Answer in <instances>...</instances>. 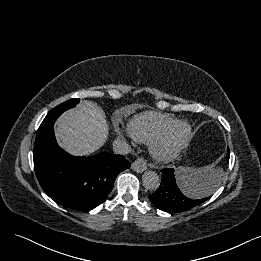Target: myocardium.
<instances>
[{
  "label": "myocardium",
  "mask_w": 261,
  "mask_h": 261,
  "mask_svg": "<svg viewBox=\"0 0 261 261\" xmlns=\"http://www.w3.org/2000/svg\"><path fill=\"white\" fill-rule=\"evenodd\" d=\"M181 128H184L185 132L176 139L175 136ZM191 137L192 126L186 121H178L151 143V154L158 162L168 163L179 156L189 144Z\"/></svg>",
  "instance_id": "1"
}]
</instances>
